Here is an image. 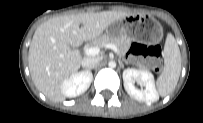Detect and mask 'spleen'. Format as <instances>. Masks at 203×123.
Here are the masks:
<instances>
[{
    "label": "spleen",
    "mask_w": 203,
    "mask_h": 123,
    "mask_svg": "<svg viewBox=\"0 0 203 123\" xmlns=\"http://www.w3.org/2000/svg\"><path fill=\"white\" fill-rule=\"evenodd\" d=\"M164 53L165 67L156 82L161 96H166L174 91L181 73V54L173 36L168 37Z\"/></svg>",
    "instance_id": "obj_1"
}]
</instances>
